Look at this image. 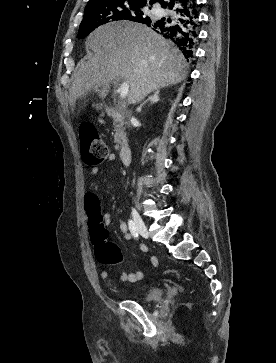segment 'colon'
I'll list each match as a JSON object with an SVG mask.
<instances>
[{
    "label": "colon",
    "mask_w": 276,
    "mask_h": 363,
    "mask_svg": "<svg viewBox=\"0 0 276 363\" xmlns=\"http://www.w3.org/2000/svg\"><path fill=\"white\" fill-rule=\"evenodd\" d=\"M81 153L84 161L89 165L101 163L107 157V146L99 136L96 128L86 123L80 128ZM89 226L92 242L95 245V255L99 262L105 265H112L121 262L122 254L119 247L107 240L108 233L97 210L89 208ZM177 276V272H173Z\"/></svg>",
    "instance_id": "obj_1"
}]
</instances>
